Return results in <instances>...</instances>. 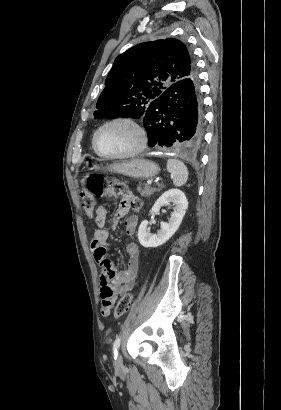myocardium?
I'll list each match as a JSON object with an SVG mask.
<instances>
[{
	"label": "myocardium",
	"mask_w": 281,
	"mask_h": 410,
	"mask_svg": "<svg viewBox=\"0 0 281 410\" xmlns=\"http://www.w3.org/2000/svg\"><path fill=\"white\" fill-rule=\"evenodd\" d=\"M114 124H126L129 125L130 127H132L135 132L138 135V143L136 145V147L124 154H120V155H107L102 153L97 146V136L99 134V132L104 129L105 127L114 125ZM148 143V136H147V132L146 130L143 128V126L137 122L135 119L131 118V117H127V116H119V117H115L112 118L104 123H102L93 133L92 136V147L95 151V153L107 160H120V159H126V158H130L133 156H136L138 154H140L142 151H144V149L146 148Z\"/></svg>",
	"instance_id": "1"
}]
</instances>
